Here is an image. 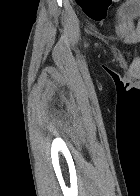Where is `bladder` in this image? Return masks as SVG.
Instances as JSON below:
<instances>
[{
  "mask_svg": "<svg viewBox=\"0 0 140 196\" xmlns=\"http://www.w3.org/2000/svg\"><path fill=\"white\" fill-rule=\"evenodd\" d=\"M114 21L119 29L140 21V0H127L119 5L114 12Z\"/></svg>",
  "mask_w": 140,
  "mask_h": 196,
  "instance_id": "31cf9c89",
  "label": "bladder"
}]
</instances>
